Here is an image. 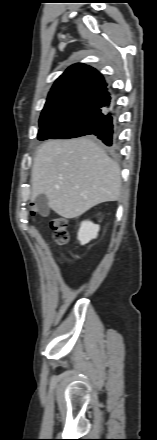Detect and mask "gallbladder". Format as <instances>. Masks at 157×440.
<instances>
[{
    "label": "gallbladder",
    "instance_id": "obj_1",
    "mask_svg": "<svg viewBox=\"0 0 157 440\" xmlns=\"http://www.w3.org/2000/svg\"><path fill=\"white\" fill-rule=\"evenodd\" d=\"M35 205L38 209V212L42 216L48 215L49 213L48 198L45 195L43 194L38 195L35 199Z\"/></svg>",
    "mask_w": 157,
    "mask_h": 440
}]
</instances>
